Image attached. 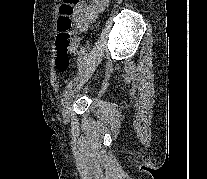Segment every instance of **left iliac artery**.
<instances>
[{"label":"left iliac artery","instance_id":"44dca946","mask_svg":"<svg viewBox=\"0 0 207 179\" xmlns=\"http://www.w3.org/2000/svg\"><path fill=\"white\" fill-rule=\"evenodd\" d=\"M78 79H79L78 76L74 77V78L68 83V85L65 87V90H64V92H63V98L61 99V102H62V103L64 102V100H65V98H66L68 92L72 89L73 85L77 83Z\"/></svg>","mask_w":207,"mask_h":179}]
</instances>
